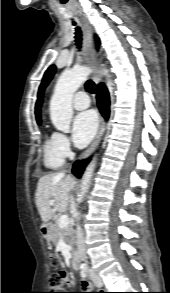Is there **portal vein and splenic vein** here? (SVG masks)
I'll return each instance as SVG.
<instances>
[{"label": "portal vein and splenic vein", "instance_id": "portal-vein-and-splenic-vein-1", "mask_svg": "<svg viewBox=\"0 0 170 293\" xmlns=\"http://www.w3.org/2000/svg\"><path fill=\"white\" fill-rule=\"evenodd\" d=\"M54 202H55L54 200H50L49 204L53 205ZM69 223H70V220H69V217L67 215L60 216L59 222H58L60 228L66 227Z\"/></svg>", "mask_w": 170, "mask_h": 293}]
</instances>
